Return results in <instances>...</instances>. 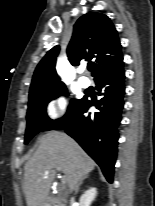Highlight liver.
Masks as SVG:
<instances>
[{"label":"liver","mask_w":155,"mask_h":206,"mask_svg":"<svg viewBox=\"0 0 155 206\" xmlns=\"http://www.w3.org/2000/svg\"><path fill=\"white\" fill-rule=\"evenodd\" d=\"M94 161L68 135L50 131L39 138V146L24 168L27 206H41L47 199L56 170L64 173L70 191L93 171Z\"/></svg>","instance_id":"6515ba94"}]
</instances>
